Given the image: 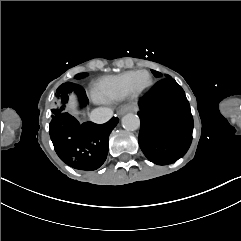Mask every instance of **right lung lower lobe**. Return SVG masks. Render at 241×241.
<instances>
[{"label": "right lung lower lobe", "instance_id": "obj_1", "mask_svg": "<svg viewBox=\"0 0 241 241\" xmlns=\"http://www.w3.org/2000/svg\"><path fill=\"white\" fill-rule=\"evenodd\" d=\"M71 91L78 96L82 106L88 103L85 90L71 83ZM119 119L111 118L104 124L78 120L67 112L55 115L49 124V133L59 158L72 168L92 171L98 169L108 154V139Z\"/></svg>", "mask_w": 241, "mask_h": 241}]
</instances>
